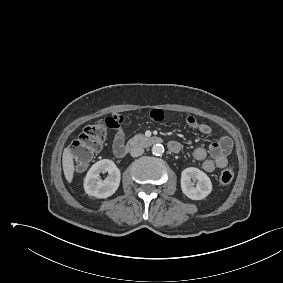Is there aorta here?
<instances>
[{
	"label": "aorta",
	"instance_id": "1",
	"mask_svg": "<svg viewBox=\"0 0 283 283\" xmlns=\"http://www.w3.org/2000/svg\"><path fill=\"white\" fill-rule=\"evenodd\" d=\"M152 153L156 156H161L164 153V147L162 144H154L152 147Z\"/></svg>",
	"mask_w": 283,
	"mask_h": 283
}]
</instances>
